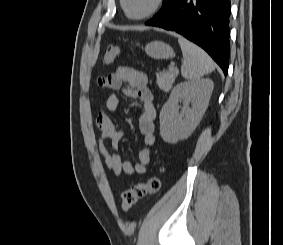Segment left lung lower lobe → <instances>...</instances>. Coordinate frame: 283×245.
I'll return each mask as SVG.
<instances>
[{"instance_id": "0a47b994", "label": "left lung lower lobe", "mask_w": 283, "mask_h": 245, "mask_svg": "<svg viewBox=\"0 0 283 245\" xmlns=\"http://www.w3.org/2000/svg\"><path fill=\"white\" fill-rule=\"evenodd\" d=\"M230 12V0H173L145 24L175 31L196 43L227 75Z\"/></svg>"}]
</instances>
